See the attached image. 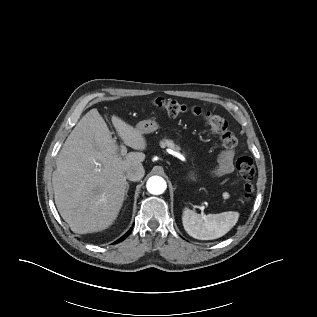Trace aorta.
<instances>
[{"instance_id":"762f6f07","label":"aorta","mask_w":317,"mask_h":317,"mask_svg":"<svg viewBox=\"0 0 317 317\" xmlns=\"http://www.w3.org/2000/svg\"><path fill=\"white\" fill-rule=\"evenodd\" d=\"M149 193L154 195L162 194L166 188V181L160 176H152L148 179L146 184Z\"/></svg>"}]
</instances>
